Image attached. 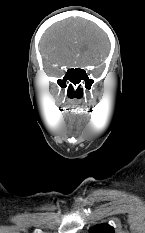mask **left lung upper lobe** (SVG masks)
I'll list each match as a JSON object with an SVG mask.
<instances>
[{"label":"left lung upper lobe","mask_w":145,"mask_h":233,"mask_svg":"<svg viewBox=\"0 0 145 233\" xmlns=\"http://www.w3.org/2000/svg\"><path fill=\"white\" fill-rule=\"evenodd\" d=\"M89 233H114V228L107 224H99L90 228Z\"/></svg>","instance_id":"left-lung-upper-lobe-1"}]
</instances>
